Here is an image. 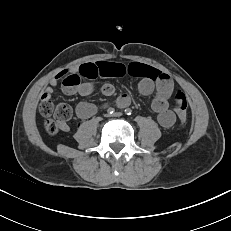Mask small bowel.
<instances>
[{"instance_id": "1", "label": "small bowel", "mask_w": 231, "mask_h": 231, "mask_svg": "<svg viewBox=\"0 0 231 231\" xmlns=\"http://www.w3.org/2000/svg\"><path fill=\"white\" fill-rule=\"evenodd\" d=\"M68 71L59 72L49 81L41 94V99H50L60 80L68 75ZM77 73L88 79L82 83L77 92L81 96H89L94 91V84L91 80L98 77H121L126 74L138 77V90L143 95H151L154 93L152 100V109L157 114L159 124L164 128H170L176 121L174 112L169 108V100L178 91L175 88L173 80L169 75L142 63L131 62L127 65L116 62H93L84 63L77 68ZM102 93L110 96L114 93V88L111 84H105L102 87ZM116 103L120 107H124L130 103V98L126 94L120 95ZM97 111V107L88 102H81L76 107V115L79 119L85 120L92 117ZM59 127L63 131H68L69 126L65 123H60Z\"/></svg>"}]
</instances>
